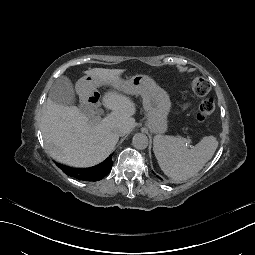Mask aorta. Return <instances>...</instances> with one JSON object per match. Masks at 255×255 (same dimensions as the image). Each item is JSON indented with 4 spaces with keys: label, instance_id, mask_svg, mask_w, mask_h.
<instances>
[{
    "label": "aorta",
    "instance_id": "obj_1",
    "mask_svg": "<svg viewBox=\"0 0 255 255\" xmlns=\"http://www.w3.org/2000/svg\"><path fill=\"white\" fill-rule=\"evenodd\" d=\"M132 144L136 149H146L148 146V137L143 133H137L133 136Z\"/></svg>",
    "mask_w": 255,
    "mask_h": 255
}]
</instances>
